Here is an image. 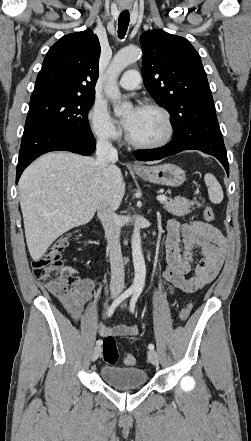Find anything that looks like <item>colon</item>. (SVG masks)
I'll return each mask as SVG.
<instances>
[{"label": "colon", "mask_w": 251, "mask_h": 441, "mask_svg": "<svg viewBox=\"0 0 251 441\" xmlns=\"http://www.w3.org/2000/svg\"><path fill=\"white\" fill-rule=\"evenodd\" d=\"M204 217L208 221H213L215 213L212 207L204 208ZM70 242V235L64 234L55 240L47 249L45 254L32 263L33 274L35 278L43 285L52 287L57 291H63L75 286L80 278L71 267L65 266L61 261V255ZM192 310V305H186L179 314L181 321H186ZM119 358L116 340L113 336H107L103 339V359L107 364H116ZM124 363L132 366L136 359L131 354L124 356Z\"/></svg>", "instance_id": "colon-1"}]
</instances>
